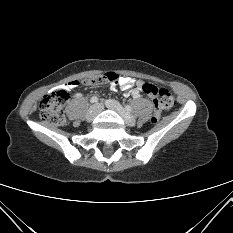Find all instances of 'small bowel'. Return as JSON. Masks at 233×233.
Returning a JSON list of instances; mask_svg holds the SVG:
<instances>
[{"label": "small bowel", "mask_w": 233, "mask_h": 233, "mask_svg": "<svg viewBox=\"0 0 233 233\" xmlns=\"http://www.w3.org/2000/svg\"><path fill=\"white\" fill-rule=\"evenodd\" d=\"M105 80H111L110 90L116 91L117 88L126 91L127 96H131L133 98H138L143 92L142 87L145 82L141 80H135L126 76H118L116 72H109L104 74ZM81 88V82L78 80H73L67 83H63L62 86L50 88L48 92L57 91V90H68L69 92H74L75 89ZM150 98H153L151 95H148Z\"/></svg>", "instance_id": "small-bowel-1"}]
</instances>
